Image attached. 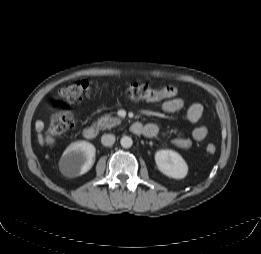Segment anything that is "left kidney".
<instances>
[{"label":"left kidney","instance_id":"1","mask_svg":"<svg viewBox=\"0 0 261 254\" xmlns=\"http://www.w3.org/2000/svg\"><path fill=\"white\" fill-rule=\"evenodd\" d=\"M155 162L164 175L182 179L188 173V166L185 160L173 150H159L155 154Z\"/></svg>","mask_w":261,"mask_h":254}]
</instances>
